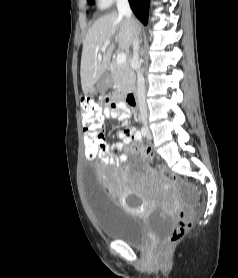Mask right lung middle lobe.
<instances>
[{
	"label": "right lung middle lobe",
	"instance_id": "obj_1",
	"mask_svg": "<svg viewBox=\"0 0 238 278\" xmlns=\"http://www.w3.org/2000/svg\"><path fill=\"white\" fill-rule=\"evenodd\" d=\"M88 2L91 4V3H93V0H88Z\"/></svg>",
	"mask_w": 238,
	"mask_h": 278
}]
</instances>
